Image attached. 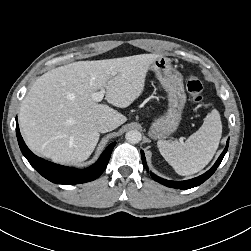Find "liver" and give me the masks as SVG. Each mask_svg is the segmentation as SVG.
Wrapping results in <instances>:
<instances>
[{"instance_id": "6515ba94", "label": "liver", "mask_w": 251, "mask_h": 251, "mask_svg": "<svg viewBox=\"0 0 251 251\" xmlns=\"http://www.w3.org/2000/svg\"><path fill=\"white\" fill-rule=\"evenodd\" d=\"M159 57L140 54L78 61L40 76L19 111L28 147L56 163L88 159L100 136L97 121L107 119L117 128L127 120L108 105L98 104L92 94L104 89L109 104L128 107L143 92L148 69Z\"/></svg>"}]
</instances>
